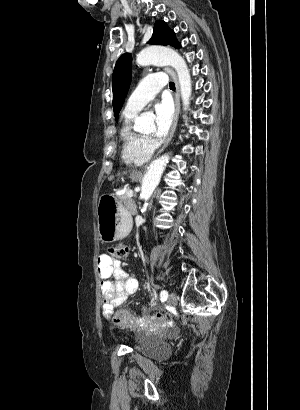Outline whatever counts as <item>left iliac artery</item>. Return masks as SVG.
<instances>
[{
    "label": "left iliac artery",
    "mask_w": 300,
    "mask_h": 410,
    "mask_svg": "<svg viewBox=\"0 0 300 410\" xmlns=\"http://www.w3.org/2000/svg\"><path fill=\"white\" fill-rule=\"evenodd\" d=\"M168 298V292L166 290L161 291L160 293V299L161 301H164Z\"/></svg>",
    "instance_id": "obj_1"
}]
</instances>
